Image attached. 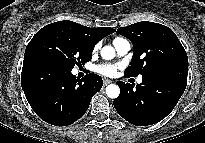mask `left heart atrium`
<instances>
[{
	"instance_id": "left-heart-atrium-1",
	"label": "left heart atrium",
	"mask_w": 205,
	"mask_h": 143,
	"mask_svg": "<svg viewBox=\"0 0 205 143\" xmlns=\"http://www.w3.org/2000/svg\"><path fill=\"white\" fill-rule=\"evenodd\" d=\"M96 71L104 76L112 77L117 72V66L112 64H101L96 67Z\"/></svg>"
}]
</instances>
